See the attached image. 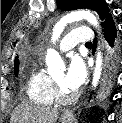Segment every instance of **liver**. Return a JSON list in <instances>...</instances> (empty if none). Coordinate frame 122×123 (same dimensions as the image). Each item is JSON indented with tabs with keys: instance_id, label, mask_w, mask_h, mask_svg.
I'll return each instance as SVG.
<instances>
[{
	"instance_id": "liver-1",
	"label": "liver",
	"mask_w": 122,
	"mask_h": 123,
	"mask_svg": "<svg viewBox=\"0 0 122 123\" xmlns=\"http://www.w3.org/2000/svg\"><path fill=\"white\" fill-rule=\"evenodd\" d=\"M57 108L33 104H21L11 116V123H56Z\"/></svg>"
}]
</instances>
